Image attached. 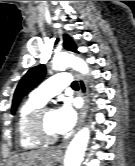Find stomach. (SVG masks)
<instances>
[{
    "label": "stomach",
    "mask_w": 135,
    "mask_h": 166,
    "mask_svg": "<svg viewBox=\"0 0 135 166\" xmlns=\"http://www.w3.org/2000/svg\"><path fill=\"white\" fill-rule=\"evenodd\" d=\"M59 158H60V155L57 152L51 151L50 161H58ZM9 166H17V165H16V163H11ZM31 166H46V165H44L41 162H37V163H35L34 165H31ZM49 166H51V165H49Z\"/></svg>",
    "instance_id": "stomach-1"
}]
</instances>
